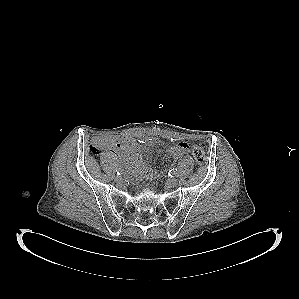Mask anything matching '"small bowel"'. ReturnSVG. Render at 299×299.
Segmentation results:
<instances>
[{"label":"small bowel","mask_w":299,"mask_h":299,"mask_svg":"<svg viewBox=\"0 0 299 299\" xmlns=\"http://www.w3.org/2000/svg\"><path fill=\"white\" fill-rule=\"evenodd\" d=\"M149 143H159L157 136L149 138ZM107 146L112 149L118 159L123 162L128 172L137 179H148L156 175V170L145 163L140 151L139 141L133 137L108 138ZM190 145L186 142H178L167 149V158L178 159L187 154Z\"/></svg>","instance_id":"c3829d8e"}]
</instances>
